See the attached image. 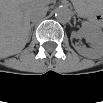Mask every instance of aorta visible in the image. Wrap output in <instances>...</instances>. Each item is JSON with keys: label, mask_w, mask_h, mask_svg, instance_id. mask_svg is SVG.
Masks as SVG:
<instances>
[{"label": "aorta", "mask_w": 103, "mask_h": 103, "mask_svg": "<svg viewBox=\"0 0 103 103\" xmlns=\"http://www.w3.org/2000/svg\"><path fill=\"white\" fill-rule=\"evenodd\" d=\"M54 13L60 23H67L71 19V10L67 6H58Z\"/></svg>", "instance_id": "aorta-1"}]
</instances>
